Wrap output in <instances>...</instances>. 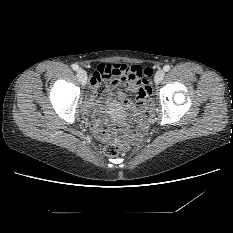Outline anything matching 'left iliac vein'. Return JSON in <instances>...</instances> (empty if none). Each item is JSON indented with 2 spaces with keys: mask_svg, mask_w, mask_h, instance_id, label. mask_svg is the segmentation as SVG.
<instances>
[{
  "mask_svg": "<svg viewBox=\"0 0 233 233\" xmlns=\"http://www.w3.org/2000/svg\"><path fill=\"white\" fill-rule=\"evenodd\" d=\"M164 75H165L164 70L159 69V70L156 72L155 77H154L155 83H156V84L160 83V82L163 80Z\"/></svg>",
  "mask_w": 233,
  "mask_h": 233,
  "instance_id": "left-iliac-vein-1",
  "label": "left iliac vein"
}]
</instances>
